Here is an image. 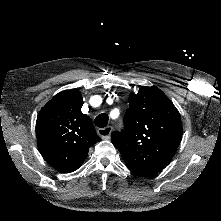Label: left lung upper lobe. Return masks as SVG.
<instances>
[{"instance_id": "left-lung-upper-lobe-1", "label": "left lung upper lobe", "mask_w": 221, "mask_h": 221, "mask_svg": "<svg viewBox=\"0 0 221 221\" xmlns=\"http://www.w3.org/2000/svg\"><path fill=\"white\" fill-rule=\"evenodd\" d=\"M125 128L111 140L134 174L149 177L171 161L182 138L180 114L157 87H142L129 95Z\"/></svg>"}]
</instances>
